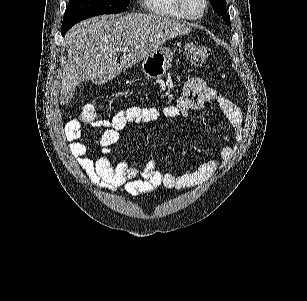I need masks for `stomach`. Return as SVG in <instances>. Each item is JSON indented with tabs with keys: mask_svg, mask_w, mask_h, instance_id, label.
I'll return each instance as SVG.
<instances>
[{
	"mask_svg": "<svg viewBox=\"0 0 307 301\" xmlns=\"http://www.w3.org/2000/svg\"><path fill=\"white\" fill-rule=\"evenodd\" d=\"M174 50L170 46H161L159 50L150 52L142 60V70L147 78H160L171 66Z\"/></svg>",
	"mask_w": 307,
	"mask_h": 301,
	"instance_id": "1",
	"label": "stomach"
}]
</instances>
